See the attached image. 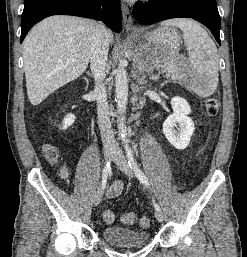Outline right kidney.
I'll return each mask as SVG.
<instances>
[{"label":"right kidney","mask_w":247,"mask_h":257,"mask_svg":"<svg viewBox=\"0 0 247 257\" xmlns=\"http://www.w3.org/2000/svg\"><path fill=\"white\" fill-rule=\"evenodd\" d=\"M75 121V116L73 114H68L66 117L63 119V124H62V129L65 130L68 127H70Z\"/></svg>","instance_id":"ca27d5eb"}]
</instances>
